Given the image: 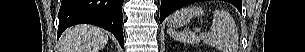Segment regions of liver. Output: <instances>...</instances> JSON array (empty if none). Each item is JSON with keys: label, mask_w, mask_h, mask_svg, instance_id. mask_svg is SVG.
I'll use <instances>...</instances> for the list:
<instances>
[{"label": "liver", "mask_w": 305, "mask_h": 52, "mask_svg": "<svg viewBox=\"0 0 305 52\" xmlns=\"http://www.w3.org/2000/svg\"><path fill=\"white\" fill-rule=\"evenodd\" d=\"M108 42L103 29L93 25H77L67 29L61 39V52H99Z\"/></svg>", "instance_id": "1"}]
</instances>
